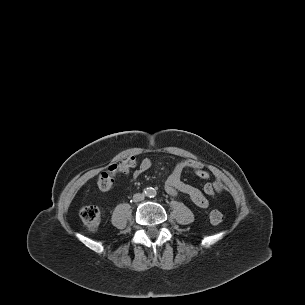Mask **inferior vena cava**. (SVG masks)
<instances>
[{"mask_svg":"<svg viewBox=\"0 0 305 305\" xmlns=\"http://www.w3.org/2000/svg\"><path fill=\"white\" fill-rule=\"evenodd\" d=\"M143 198H144V195L141 194V193H137V194L134 195V199H135L136 201H140V200H142Z\"/></svg>","mask_w":305,"mask_h":305,"instance_id":"1","label":"inferior vena cava"}]
</instances>
